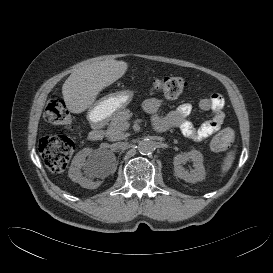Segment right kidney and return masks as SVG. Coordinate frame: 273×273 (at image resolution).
<instances>
[{"label":"right kidney","instance_id":"right-kidney-1","mask_svg":"<svg viewBox=\"0 0 273 273\" xmlns=\"http://www.w3.org/2000/svg\"><path fill=\"white\" fill-rule=\"evenodd\" d=\"M86 157L89 158L86 160ZM83 167L89 176L96 177H106L113 170V166L107 161H104V159L101 161L95 159V157L92 156L90 149L85 148L77 153L72 161L68 175L72 181L77 182L82 187L88 189L97 188L99 183L90 182L87 178L83 177L81 173V168Z\"/></svg>","mask_w":273,"mask_h":273}]
</instances>
